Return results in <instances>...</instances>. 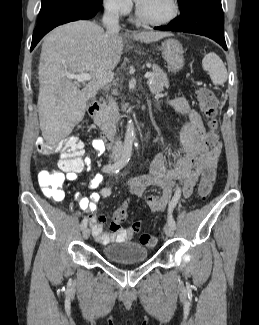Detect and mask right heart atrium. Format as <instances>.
<instances>
[{
	"mask_svg": "<svg viewBox=\"0 0 259 325\" xmlns=\"http://www.w3.org/2000/svg\"><path fill=\"white\" fill-rule=\"evenodd\" d=\"M103 4L110 12L120 15L128 14L132 9L131 0H103Z\"/></svg>",
	"mask_w": 259,
	"mask_h": 325,
	"instance_id": "obj_1",
	"label": "right heart atrium"
}]
</instances>
